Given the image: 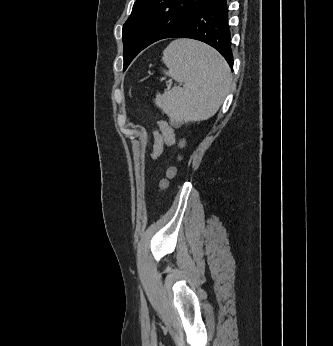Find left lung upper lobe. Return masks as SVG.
I'll return each mask as SVG.
<instances>
[{"mask_svg":"<svg viewBox=\"0 0 333 346\" xmlns=\"http://www.w3.org/2000/svg\"><path fill=\"white\" fill-rule=\"evenodd\" d=\"M205 0H136L122 31L124 69Z\"/></svg>","mask_w":333,"mask_h":346,"instance_id":"1","label":"left lung upper lobe"}]
</instances>
